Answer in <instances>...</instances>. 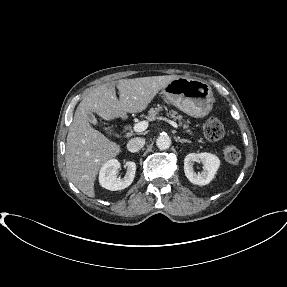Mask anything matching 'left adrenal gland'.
Returning <instances> with one entry per match:
<instances>
[{
    "label": "left adrenal gland",
    "instance_id": "1",
    "mask_svg": "<svg viewBox=\"0 0 287 287\" xmlns=\"http://www.w3.org/2000/svg\"><path fill=\"white\" fill-rule=\"evenodd\" d=\"M175 141L180 142V143H191V141L186 140V139H181L180 137H175Z\"/></svg>",
    "mask_w": 287,
    "mask_h": 287
}]
</instances>
